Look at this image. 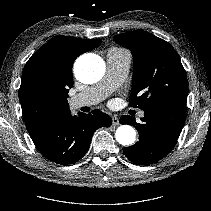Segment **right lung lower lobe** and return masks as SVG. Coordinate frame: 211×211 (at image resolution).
Here are the masks:
<instances>
[{"label": "right lung lower lobe", "instance_id": "right-lung-lower-lobe-1", "mask_svg": "<svg viewBox=\"0 0 211 211\" xmlns=\"http://www.w3.org/2000/svg\"><path fill=\"white\" fill-rule=\"evenodd\" d=\"M111 123V117L99 110L89 114L80 112L77 116H72L69 110L31 138L47 159L60 165H69L86 154L93 133L100 127L111 126Z\"/></svg>", "mask_w": 211, "mask_h": 211}]
</instances>
